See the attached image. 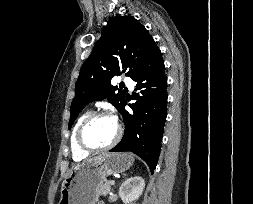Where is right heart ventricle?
Returning a JSON list of instances; mask_svg holds the SVG:
<instances>
[{
  "label": "right heart ventricle",
  "mask_w": 253,
  "mask_h": 204,
  "mask_svg": "<svg viewBox=\"0 0 253 204\" xmlns=\"http://www.w3.org/2000/svg\"><path fill=\"white\" fill-rule=\"evenodd\" d=\"M90 114V112H85L82 114L76 121L74 128L72 130L71 139H70V146H71V152H72V158L75 161H81L84 158L88 156V152L83 151L77 143V131L82 123V121Z\"/></svg>",
  "instance_id": "right-heart-ventricle-1"
}]
</instances>
